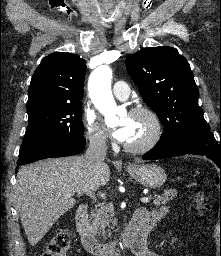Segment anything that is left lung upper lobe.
<instances>
[{"label":"left lung upper lobe","instance_id":"1","mask_svg":"<svg viewBox=\"0 0 221 256\" xmlns=\"http://www.w3.org/2000/svg\"><path fill=\"white\" fill-rule=\"evenodd\" d=\"M125 64L143 100L164 125L161 138L209 128L190 65L177 49L148 47L129 55Z\"/></svg>","mask_w":221,"mask_h":256}]
</instances>
